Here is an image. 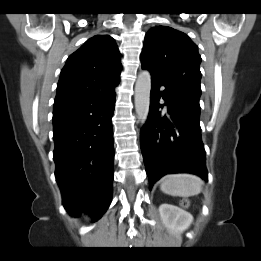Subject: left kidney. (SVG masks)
Returning a JSON list of instances; mask_svg holds the SVG:
<instances>
[{"mask_svg": "<svg viewBox=\"0 0 261 261\" xmlns=\"http://www.w3.org/2000/svg\"><path fill=\"white\" fill-rule=\"evenodd\" d=\"M159 213L164 226L172 234H181L193 222V216L189 212L171 204H161Z\"/></svg>", "mask_w": 261, "mask_h": 261, "instance_id": "left-kidney-1", "label": "left kidney"}]
</instances>
